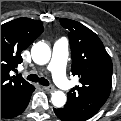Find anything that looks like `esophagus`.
<instances>
[{"mask_svg":"<svg viewBox=\"0 0 121 121\" xmlns=\"http://www.w3.org/2000/svg\"><path fill=\"white\" fill-rule=\"evenodd\" d=\"M48 92H53L54 88L52 86H44L43 87Z\"/></svg>","mask_w":121,"mask_h":121,"instance_id":"1","label":"esophagus"}]
</instances>
